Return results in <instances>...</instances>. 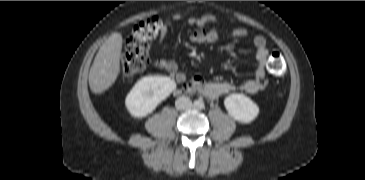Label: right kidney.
Returning <instances> with one entry per match:
<instances>
[{
    "label": "right kidney",
    "instance_id": "1",
    "mask_svg": "<svg viewBox=\"0 0 365 180\" xmlns=\"http://www.w3.org/2000/svg\"><path fill=\"white\" fill-rule=\"evenodd\" d=\"M175 89V81L167 76L143 77L126 96L125 106L132 117H146Z\"/></svg>",
    "mask_w": 365,
    "mask_h": 180
}]
</instances>
